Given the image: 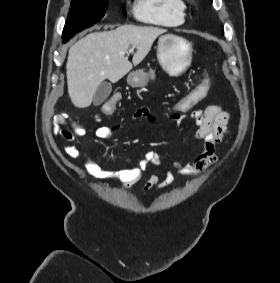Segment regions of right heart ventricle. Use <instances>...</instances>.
<instances>
[{"label":"right heart ventricle","mask_w":280,"mask_h":283,"mask_svg":"<svg viewBox=\"0 0 280 283\" xmlns=\"http://www.w3.org/2000/svg\"><path fill=\"white\" fill-rule=\"evenodd\" d=\"M186 9L184 0H135L133 13L142 22L173 27L184 23Z\"/></svg>","instance_id":"obj_1"}]
</instances>
